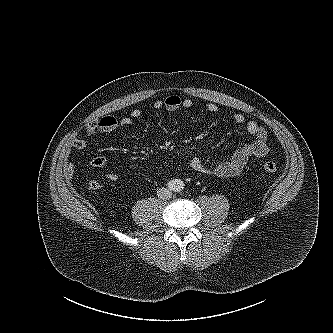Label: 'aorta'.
Listing matches in <instances>:
<instances>
[{
	"label": "aorta",
	"mask_w": 333,
	"mask_h": 333,
	"mask_svg": "<svg viewBox=\"0 0 333 333\" xmlns=\"http://www.w3.org/2000/svg\"><path fill=\"white\" fill-rule=\"evenodd\" d=\"M183 186H184L183 182L178 180L177 185H176V190L178 191V190L183 189Z\"/></svg>",
	"instance_id": "aorta-1"
}]
</instances>
